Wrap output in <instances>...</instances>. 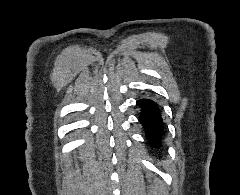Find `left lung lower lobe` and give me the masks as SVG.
I'll list each match as a JSON object with an SVG mask.
<instances>
[{"instance_id": "1", "label": "left lung lower lobe", "mask_w": 240, "mask_h": 195, "mask_svg": "<svg viewBox=\"0 0 240 195\" xmlns=\"http://www.w3.org/2000/svg\"><path fill=\"white\" fill-rule=\"evenodd\" d=\"M136 104L141 109L138 118L145 131L148 144L155 149L161 147L164 124L158 104L150 98H141Z\"/></svg>"}]
</instances>
